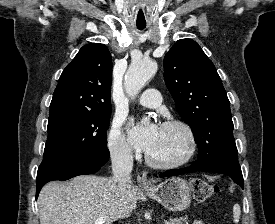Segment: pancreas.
Wrapping results in <instances>:
<instances>
[{
	"label": "pancreas",
	"instance_id": "cf45deb5",
	"mask_svg": "<svg viewBox=\"0 0 275 224\" xmlns=\"http://www.w3.org/2000/svg\"><path fill=\"white\" fill-rule=\"evenodd\" d=\"M187 219V217L170 218L168 221H165V224H188Z\"/></svg>",
	"mask_w": 275,
	"mask_h": 224
}]
</instances>
